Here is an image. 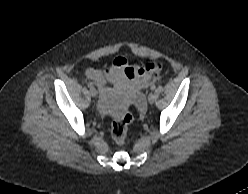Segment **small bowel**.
<instances>
[{
	"instance_id": "1",
	"label": "small bowel",
	"mask_w": 248,
	"mask_h": 194,
	"mask_svg": "<svg viewBox=\"0 0 248 194\" xmlns=\"http://www.w3.org/2000/svg\"><path fill=\"white\" fill-rule=\"evenodd\" d=\"M159 67L148 64L144 67L128 65L124 57L118 56L104 70L88 68L86 76L93 81L106 96L111 86L128 87L132 92L155 82L159 77Z\"/></svg>"
}]
</instances>
